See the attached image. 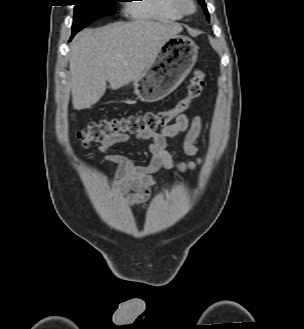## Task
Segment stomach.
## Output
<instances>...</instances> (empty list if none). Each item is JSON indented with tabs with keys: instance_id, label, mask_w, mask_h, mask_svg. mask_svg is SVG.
I'll use <instances>...</instances> for the list:
<instances>
[{
	"instance_id": "stomach-1",
	"label": "stomach",
	"mask_w": 304,
	"mask_h": 329,
	"mask_svg": "<svg viewBox=\"0 0 304 329\" xmlns=\"http://www.w3.org/2000/svg\"><path fill=\"white\" fill-rule=\"evenodd\" d=\"M198 46L183 35L168 38L143 72L134 81V93L143 102H157L173 92L196 63Z\"/></svg>"
}]
</instances>
